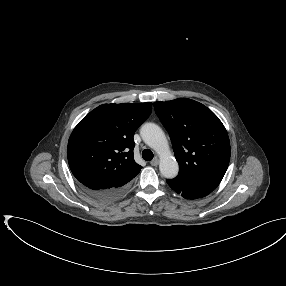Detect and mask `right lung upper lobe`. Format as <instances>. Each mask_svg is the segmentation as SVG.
I'll return each instance as SVG.
<instances>
[{"mask_svg":"<svg viewBox=\"0 0 286 286\" xmlns=\"http://www.w3.org/2000/svg\"><path fill=\"white\" fill-rule=\"evenodd\" d=\"M151 111L148 102L103 104L88 113L74 128L67 147L78 182L95 189L128 185L142 168L133 158V136Z\"/></svg>","mask_w":286,"mask_h":286,"instance_id":"right-lung-upper-lobe-1","label":"right lung upper lobe"}]
</instances>
